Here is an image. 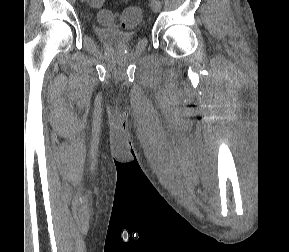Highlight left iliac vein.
Returning a JSON list of instances; mask_svg holds the SVG:
<instances>
[{"label": "left iliac vein", "instance_id": "1", "mask_svg": "<svg viewBox=\"0 0 289 252\" xmlns=\"http://www.w3.org/2000/svg\"><path fill=\"white\" fill-rule=\"evenodd\" d=\"M150 6L153 12L157 13L161 9V2L160 0H151Z\"/></svg>", "mask_w": 289, "mask_h": 252}]
</instances>
